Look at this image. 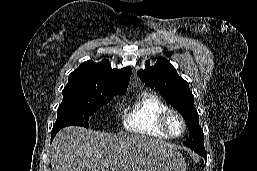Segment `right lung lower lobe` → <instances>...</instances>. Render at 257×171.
<instances>
[{
    "instance_id": "1",
    "label": "right lung lower lobe",
    "mask_w": 257,
    "mask_h": 171,
    "mask_svg": "<svg viewBox=\"0 0 257 171\" xmlns=\"http://www.w3.org/2000/svg\"><path fill=\"white\" fill-rule=\"evenodd\" d=\"M60 129H56V128H53L52 129V132H51V141L53 140V138L55 137V135L57 134V132L59 131Z\"/></svg>"
}]
</instances>
